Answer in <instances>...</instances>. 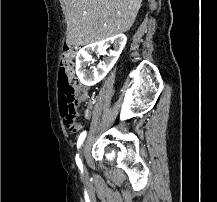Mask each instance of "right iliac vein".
Here are the masks:
<instances>
[{"label": "right iliac vein", "instance_id": "1", "mask_svg": "<svg viewBox=\"0 0 217 202\" xmlns=\"http://www.w3.org/2000/svg\"><path fill=\"white\" fill-rule=\"evenodd\" d=\"M84 151H85V145L83 144L79 152L80 158H82V156L84 155Z\"/></svg>", "mask_w": 217, "mask_h": 202}]
</instances>
